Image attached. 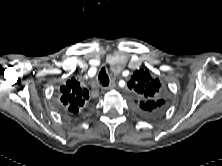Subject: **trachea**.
Returning a JSON list of instances; mask_svg holds the SVG:
<instances>
[{"mask_svg": "<svg viewBox=\"0 0 222 166\" xmlns=\"http://www.w3.org/2000/svg\"><path fill=\"white\" fill-rule=\"evenodd\" d=\"M99 80L100 83L105 87L109 85V77L106 73V70L104 68L101 69L100 73H99Z\"/></svg>", "mask_w": 222, "mask_h": 166, "instance_id": "trachea-1", "label": "trachea"}]
</instances>
